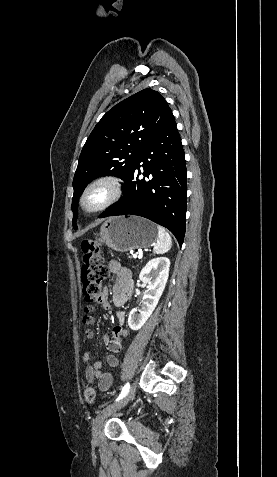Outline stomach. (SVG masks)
<instances>
[{"label": "stomach", "mask_w": 277, "mask_h": 477, "mask_svg": "<svg viewBox=\"0 0 277 477\" xmlns=\"http://www.w3.org/2000/svg\"><path fill=\"white\" fill-rule=\"evenodd\" d=\"M99 240L112 250L127 252L152 246L157 238L156 226L138 216H115L100 228Z\"/></svg>", "instance_id": "stomach-1"}]
</instances>
